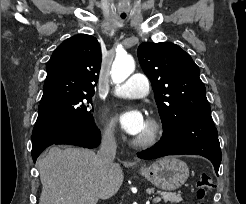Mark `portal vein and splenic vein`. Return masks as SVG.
Wrapping results in <instances>:
<instances>
[{
    "label": "portal vein and splenic vein",
    "mask_w": 246,
    "mask_h": 204,
    "mask_svg": "<svg viewBox=\"0 0 246 204\" xmlns=\"http://www.w3.org/2000/svg\"><path fill=\"white\" fill-rule=\"evenodd\" d=\"M160 200H161L160 197H156V198L153 199V202H154V203H158V202H160Z\"/></svg>",
    "instance_id": "portal-vein-and-splenic-vein-1"
}]
</instances>
